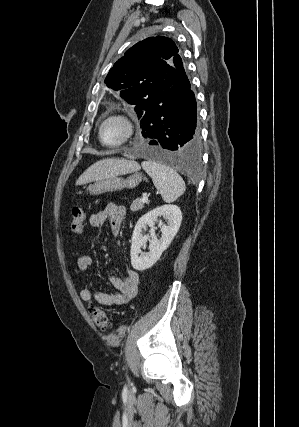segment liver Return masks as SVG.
Here are the masks:
<instances>
[{
	"label": "liver",
	"mask_w": 299,
	"mask_h": 427,
	"mask_svg": "<svg viewBox=\"0 0 299 427\" xmlns=\"http://www.w3.org/2000/svg\"><path fill=\"white\" fill-rule=\"evenodd\" d=\"M139 169V164L132 160L119 158L102 159L87 168L77 179L76 185H84L109 176L127 174Z\"/></svg>",
	"instance_id": "obj_1"
}]
</instances>
